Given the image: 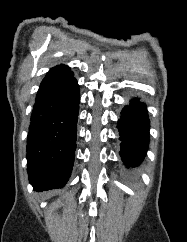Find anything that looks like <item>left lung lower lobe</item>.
<instances>
[{
	"label": "left lung lower lobe",
	"instance_id": "obj_1",
	"mask_svg": "<svg viewBox=\"0 0 187 242\" xmlns=\"http://www.w3.org/2000/svg\"><path fill=\"white\" fill-rule=\"evenodd\" d=\"M117 128L122 161L127 167L138 166L144 160L149 145L150 121L146 105L138 98L131 99L121 111Z\"/></svg>",
	"mask_w": 187,
	"mask_h": 242
}]
</instances>
